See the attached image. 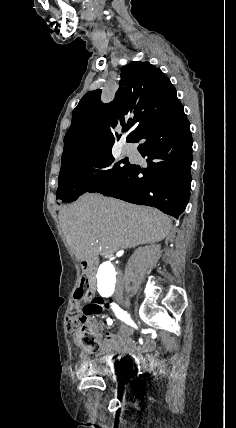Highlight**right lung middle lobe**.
<instances>
[{
	"mask_svg": "<svg viewBox=\"0 0 236 428\" xmlns=\"http://www.w3.org/2000/svg\"><path fill=\"white\" fill-rule=\"evenodd\" d=\"M112 146L113 145H110L62 169L59 173V185L56 192V199L62 200L63 202H72L86 192H97L110 184L120 171L129 164L127 158L115 163L112 168L100 171L92 179L87 177L88 172L93 170L92 167L105 168L113 165L114 157L111 152ZM121 163H124L125 166H119Z\"/></svg>",
	"mask_w": 236,
	"mask_h": 428,
	"instance_id": "obj_1",
	"label": "right lung middle lobe"
}]
</instances>
